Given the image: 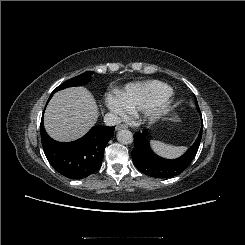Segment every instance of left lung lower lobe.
<instances>
[{"label": "left lung lower lobe", "instance_id": "1", "mask_svg": "<svg viewBox=\"0 0 245 245\" xmlns=\"http://www.w3.org/2000/svg\"><path fill=\"white\" fill-rule=\"evenodd\" d=\"M147 130L134 135L135 146L132 154L133 163L142 173L151 177L170 178L183 172L195 157L201 137L202 128L194 144L178 159L168 160L154 154L146 141Z\"/></svg>", "mask_w": 245, "mask_h": 245}]
</instances>
